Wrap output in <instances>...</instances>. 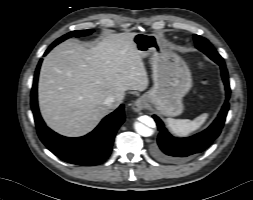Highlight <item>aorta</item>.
Listing matches in <instances>:
<instances>
[{"label": "aorta", "instance_id": "aorta-1", "mask_svg": "<svg viewBox=\"0 0 253 200\" xmlns=\"http://www.w3.org/2000/svg\"><path fill=\"white\" fill-rule=\"evenodd\" d=\"M134 128L139 135L144 136V137H149L153 134V130L151 128H149L148 126L140 122H136L134 125Z\"/></svg>", "mask_w": 253, "mask_h": 200}]
</instances>
